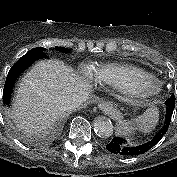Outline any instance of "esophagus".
<instances>
[{"mask_svg": "<svg viewBox=\"0 0 177 177\" xmlns=\"http://www.w3.org/2000/svg\"><path fill=\"white\" fill-rule=\"evenodd\" d=\"M112 105L113 104L109 101H101V102H99L98 107L100 110L106 111V110L110 109L112 107Z\"/></svg>", "mask_w": 177, "mask_h": 177, "instance_id": "esophagus-1", "label": "esophagus"}]
</instances>
